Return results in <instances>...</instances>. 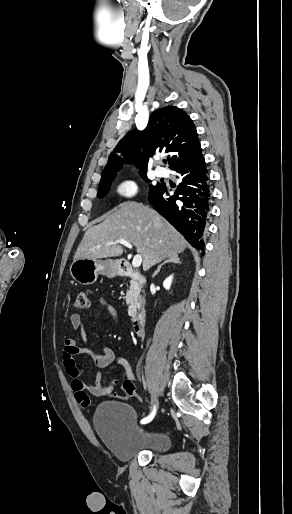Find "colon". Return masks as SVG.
Masks as SVG:
<instances>
[{"mask_svg": "<svg viewBox=\"0 0 292 514\" xmlns=\"http://www.w3.org/2000/svg\"><path fill=\"white\" fill-rule=\"evenodd\" d=\"M89 306L88 293L85 291L78 292L76 295L74 308L75 310H84ZM123 395H132L134 393V386L132 384L119 385Z\"/></svg>", "mask_w": 292, "mask_h": 514, "instance_id": "colon-1", "label": "colon"}]
</instances>
